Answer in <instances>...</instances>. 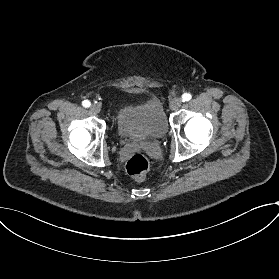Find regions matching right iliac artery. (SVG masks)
Returning a JSON list of instances; mask_svg holds the SVG:
<instances>
[{
	"label": "right iliac artery",
	"mask_w": 279,
	"mask_h": 279,
	"mask_svg": "<svg viewBox=\"0 0 279 279\" xmlns=\"http://www.w3.org/2000/svg\"><path fill=\"white\" fill-rule=\"evenodd\" d=\"M82 105H83L85 108H88V107H90L91 103H90V101H88V100H84V101L82 102Z\"/></svg>",
	"instance_id": "obj_1"
}]
</instances>
